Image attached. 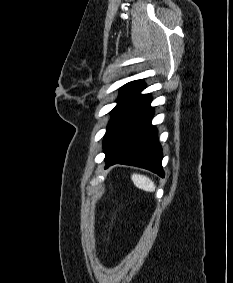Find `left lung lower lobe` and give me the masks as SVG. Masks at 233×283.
<instances>
[{"label":"left lung lower lobe","mask_w":233,"mask_h":283,"mask_svg":"<svg viewBox=\"0 0 233 283\" xmlns=\"http://www.w3.org/2000/svg\"><path fill=\"white\" fill-rule=\"evenodd\" d=\"M151 101L150 94L141 95L104 142L105 168L116 163L128 164L164 177L162 149L157 130L151 125Z\"/></svg>","instance_id":"obj_1"}]
</instances>
